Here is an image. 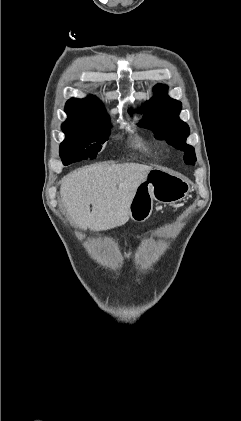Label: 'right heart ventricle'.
I'll return each mask as SVG.
<instances>
[{"label": "right heart ventricle", "instance_id": "obj_1", "mask_svg": "<svg viewBox=\"0 0 241 421\" xmlns=\"http://www.w3.org/2000/svg\"><path fill=\"white\" fill-rule=\"evenodd\" d=\"M135 145H136V147H138V148H140V149H142L144 151L151 150V148L142 139H138L136 141V144Z\"/></svg>", "mask_w": 241, "mask_h": 421}]
</instances>
